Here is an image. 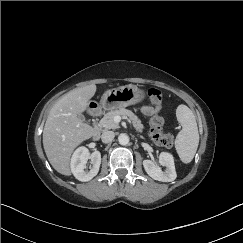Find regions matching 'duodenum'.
Masks as SVG:
<instances>
[{"label":"duodenum","mask_w":243,"mask_h":243,"mask_svg":"<svg viewBox=\"0 0 243 243\" xmlns=\"http://www.w3.org/2000/svg\"><path fill=\"white\" fill-rule=\"evenodd\" d=\"M101 112H102V109H101V108H97V109L94 111L93 116H97V115H99ZM93 137H94L95 139L98 138V132H97V130H94Z\"/></svg>","instance_id":"obj_1"}]
</instances>
